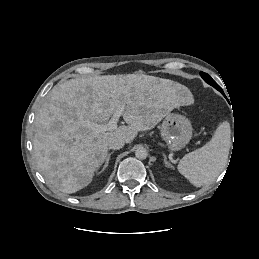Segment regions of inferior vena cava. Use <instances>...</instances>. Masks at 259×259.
Segmentation results:
<instances>
[{
    "instance_id": "602c4592",
    "label": "inferior vena cava",
    "mask_w": 259,
    "mask_h": 259,
    "mask_svg": "<svg viewBox=\"0 0 259 259\" xmlns=\"http://www.w3.org/2000/svg\"><path fill=\"white\" fill-rule=\"evenodd\" d=\"M125 144V141L119 138H113L110 142H109V148L117 150V149H121Z\"/></svg>"
}]
</instances>
